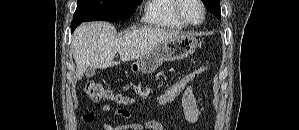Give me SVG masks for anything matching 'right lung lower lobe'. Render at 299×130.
I'll return each mask as SVG.
<instances>
[{"label": "right lung lower lobe", "instance_id": "obj_1", "mask_svg": "<svg viewBox=\"0 0 299 130\" xmlns=\"http://www.w3.org/2000/svg\"><path fill=\"white\" fill-rule=\"evenodd\" d=\"M78 25H79V23H76V22L72 21V23H71V32H73Z\"/></svg>", "mask_w": 299, "mask_h": 130}]
</instances>
